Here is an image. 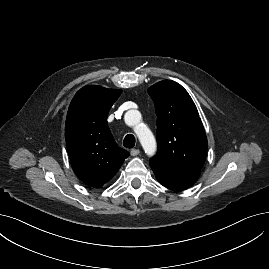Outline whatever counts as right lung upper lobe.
I'll return each mask as SVG.
<instances>
[{"instance_id": "right-lung-upper-lobe-1", "label": "right lung upper lobe", "mask_w": 269, "mask_h": 269, "mask_svg": "<svg viewBox=\"0 0 269 269\" xmlns=\"http://www.w3.org/2000/svg\"><path fill=\"white\" fill-rule=\"evenodd\" d=\"M121 90L97 85L81 88L66 118L65 139L72 168L91 187L111 180L129 152L120 148L108 127L107 116Z\"/></svg>"}]
</instances>
